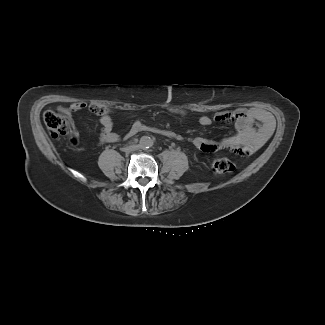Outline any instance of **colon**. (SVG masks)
Here are the masks:
<instances>
[{"mask_svg": "<svg viewBox=\"0 0 325 325\" xmlns=\"http://www.w3.org/2000/svg\"><path fill=\"white\" fill-rule=\"evenodd\" d=\"M43 120L53 136H62L70 131V124L65 116L56 111L47 110L44 112ZM211 167L216 174H227L235 169L233 162L225 157L215 158Z\"/></svg>", "mask_w": 325, "mask_h": 325, "instance_id": "1", "label": "colon"}]
</instances>
